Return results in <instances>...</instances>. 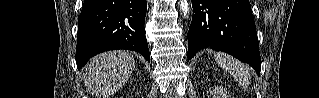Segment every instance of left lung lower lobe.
Here are the masks:
<instances>
[{
    "instance_id": "1",
    "label": "left lung lower lobe",
    "mask_w": 319,
    "mask_h": 98,
    "mask_svg": "<svg viewBox=\"0 0 319 98\" xmlns=\"http://www.w3.org/2000/svg\"><path fill=\"white\" fill-rule=\"evenodd\" d=\"M188 59L212 48L248 63L260 74L261 58L249 0H191Z\"/></svg>"
}]
</instances>
